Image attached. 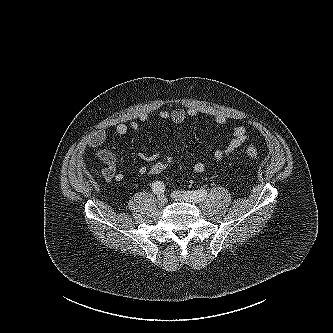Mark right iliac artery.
<instances>
[{
	"mask_svg": "<svg viewBox=\"0 0 333 333\" xmlns=\"http://www.w3.org/2000/svg\"><path fill=\"white\" fill-rule=\"evenodd\" d=\"M152 190L155 194H162L165 191V185L161 181H156L152 184Z\"/></svg>",
	"mask_w": 333,
	"mask_h": 333,
	"instance_id": "right-iliac-artery-1",
	"label": "right iliac artery"
}]
</instances>
